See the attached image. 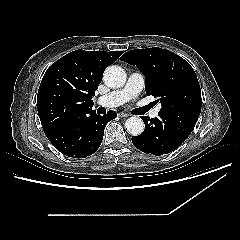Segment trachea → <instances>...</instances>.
Returning <instances> with one entry per match:
<instances>
[{
    "label": "trachea",
    "mask_w": 240,
    "mask_h": 240,
    "mask_svg": "<svg viewBox=\"0 0 240 240\" xmlns=\"http://www.w3.org/2000/svg\"><path fill=\"white\" fill-rule=\"evenodd\" d=\"M148 110H149V106H146L143 108L134 109L132 112L136 115H141V114H144L145 112H147Z\"/></svg>",
    "instance_id": "obj_1"
}]
</instances>
